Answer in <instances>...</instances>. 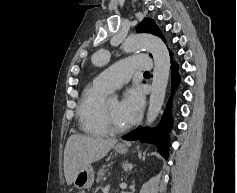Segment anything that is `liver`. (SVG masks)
<instances>
[{
  "label": "liver",
  "mask_w": 237,
  "mask_h": 193,
  "mask_svg": "<svg viewBox=\"0 0 237 193\" xmlns=\"http://www.w3.org/2000/svg\"><path fill=\"white\" fill-rule=\"evenodd\" d=\"M115 138L71 135L64 150V174L67 185H71L83 167L101 160L116 144Z\"/></svg>",
  "instance_id": "6515ba94"
}]
</instances>
